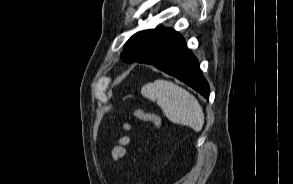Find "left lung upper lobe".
<instances>
[{
  "label": "left lung upper lobe",
  "mask_w": 293,
  "mask_h": 184,
  "mask_svg": "<svg viewBox=\"0 0 293 184\" xmlns=\"http://www.w3.org/2000/svg\"><path fill=\"white\" fill-rule=\"evenodd\" d=\"M163 30L164 28H156L155 30L137 32L125 44L123 52L120 55L121 59L127 63H131L132 61L143 62L148 59L150 56L147 50V42Z\"/></svg>",
  "instance_id": "5c2ea615"
}]
</instances>
